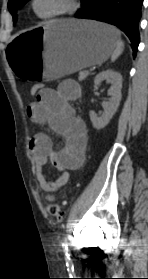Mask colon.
Listing matches in <instances>:
<instances>
[{
  "label": "colon",
  "mask_w": 148,
  "mask_h": 279,
  "mask_svg": "<svg viewBox=\"0 0 148 279\" xmlns=\"http://www.w3.org/2000/svg\"><path fill=\"white\" fill-rule=\"evenodd\" d=\"M43 89H44V86L42 84H35L31 87L30 94L32 96L38 97ZM62 205H63V203L60 201L52 202L48 205L47 211L52 217L61 219L63 216Z\"/></svg>",
  "instance_id": "obj_1"
}]
</instances>
